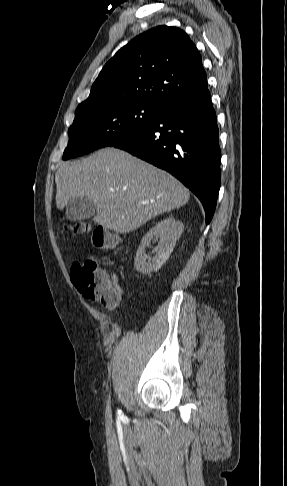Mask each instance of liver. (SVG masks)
<instances>
[{
	"mask_svg": "<svg viewBox=\"0 0 287 486\" xmlns=\"http://www.w3.org/2000/svg\"><path fill=\"white\" fill-rule=\"evenodd\" d=\"M56 205L87 197L96 208L93 221L116 233H129L152 218L185 205L190 193L176 178L131 154L101 149L55 173Z\"/></svg>",
	"mask_w": 287,
	"mask_h": 486,
	"instance_id": "1",
	"label": "liver"
}]
</instances>
